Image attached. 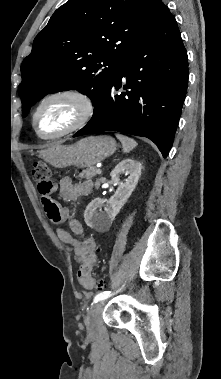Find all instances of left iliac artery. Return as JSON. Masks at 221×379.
Here are the masks:
<instances>
[{"label":"left iliac artery","mask_w":221,"mask_h":379,"mask_svg":"<svg viewBox=\"0 0 221 379\" xmlns=\"http://www.w3.org/2000/svg\"><path fill=\"white\" fill-rule=\"evenodd\" d=\"M111 296V292L110 291H105V292H101V293H98L95 297H94V303H97L98 301H101V300H104L108 297Z\"/></svg>","instance_id":"left-iliac-artery-1"}]
</instances>
